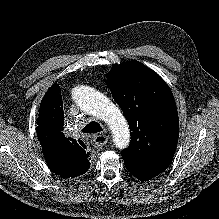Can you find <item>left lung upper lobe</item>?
Here are the masks:
<instances>
[{
	"label": "left lung upper lobe",
	"mask_w": 219,
	"mask_h": 219,
	"mask_svg": "<svg viewBox=\"0 0 219 219\" xmlns=\"http://www.w3.org/2000/svg\"><path fill=\"white\" fill-rule=\"evenodd\" d=\"M106 85L122 109L131 143L122 151L133 162L170 164L179 136L174 97L164 80L138 61L114 65Z\"/></svg>",
	"instance_id": "5c2ea615"
}]
</instances>
